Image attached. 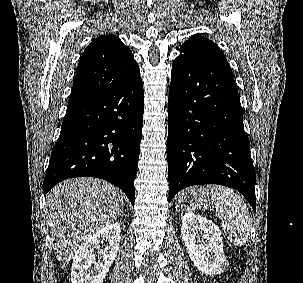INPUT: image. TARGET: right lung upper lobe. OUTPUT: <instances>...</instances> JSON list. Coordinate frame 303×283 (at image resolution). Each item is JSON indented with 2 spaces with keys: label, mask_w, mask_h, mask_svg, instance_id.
<instances>
[{
  "label": "right lung upper lobe",
  "mask_w": 303,
  "mask_h": 283,
  "mask_svg": "<svg viewBox=\"0 0 303 283\" xmlns=\"http://www.w3.org/2000/svg\"><path fill=\"white\" fill-rule=\"evenodd\" d=\"M139 76L131 50L117 36H99L80 58L68 104L115 90Z\"/></svg>",
  "instance_id": "1"
}]
</instances>
